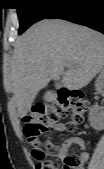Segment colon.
Segmentation results:
<instances>
[{
  "label": "colon",
  "mask_w": 104,
  "mask_h": 169,
  "mask_svg": "<svg viewBox=\"0 0 104 169\" xmlns=\"http://www.w3.org/2000/svg\"><path fill=\"white\" fill-rule=\"evenodd\" d=\"M88 107L85 95L79 90L65 92L56 106L35 105L23 117V131L27 142L32 148V156L37 162V169H58L55 158L59 154L57 145L43 143L39 136L47 132L58 121L70 116L68 131H74L83 122L84 113ZM65 169H77L80 159L76 155L64 158Z\"/></svg>",
  "instance_id": "colon-1"
}]
</instances>
